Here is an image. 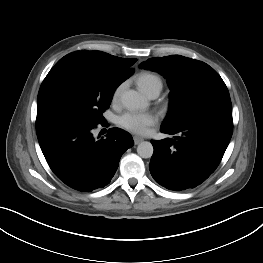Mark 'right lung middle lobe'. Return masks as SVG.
I'll return each instance as SVG.
<instances>
[{
    "instance_id": "obj_1",
    "label": "right lung middle lobe",
    "mask_w": 263,
    "mask_h": 263,
    "mask_svg": "<svg viewBox=\"0 0 263 263\" xmlns=\"http://www.w3.org/2000/svg\"><path fill=\"white\" fill-rule=\"evenodd\" d=\"M129 75L76 59H60L41 84L36 128L53 123L94 126L103 122L116 88Z\"/></svg>"
}]
</instances>
